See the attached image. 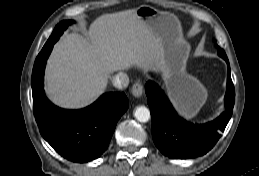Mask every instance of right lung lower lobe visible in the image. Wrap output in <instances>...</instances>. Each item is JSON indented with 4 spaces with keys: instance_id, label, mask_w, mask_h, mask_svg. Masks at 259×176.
Returning <instances> with one entry per match:
<instances>
[{
    "instance_id": "obj_1",
    "label": "right lung lower lobe",
    "mask_w": 259,
    "mask_h": 176,
    "mask_svg": "<svg viewBox=\"0 0 259 176\" xmlns=\"http://www.w3.org/2000/svg\"><path fill=\"white\" fill-rule=\"evenodd\" d=\"M59 37L46 42L34 63L31 80L34 116L41 135L57 153L70 161L84 163L98 158L107 149L129 102L124 93H105L80 110L53 105L44 94V70Z\"/></svg>"
}]
</instances>
